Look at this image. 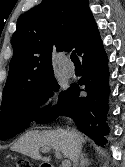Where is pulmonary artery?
Returning a JSON list of instances; mask_svg holds the SVG:
<instances>
[{
    "mask_svg": "<svg viewBox=\"0 0 125 167\" xmlns=\"http://www.w3.org/2000/svg\"><path fill=\"white\" fill-rule=\"evenodd\" d=\"M59 69L61 73L66 77H72L75 71L74 67H66L61 60L59 61Z\"/></svg>",
    "mask_w": 125,
    "mask_h": 167,
    "instance_id": "obj_1",
    "label": "pulmonary artery"
}]
</instances>
